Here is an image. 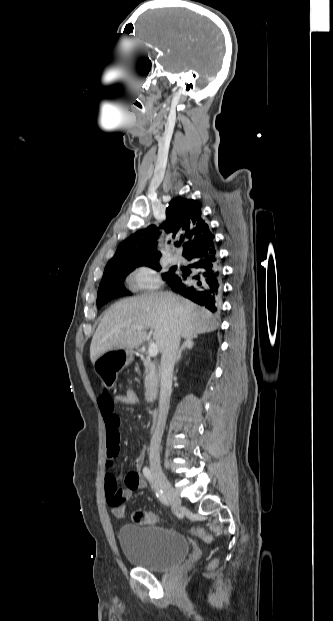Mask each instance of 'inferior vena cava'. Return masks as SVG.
I'll return each mask as SVG.
<instances>
[{
	"mask_svg": "<svg viewBox=\"0 0 333 621\" xmlns=\"http://www.w3.org/2000/svg\"><path fill=\"white\" fill-rule=\"evenodd\" d=\"M180 340V332L175 328L172 329L168 335L166 346L161 357L159 415L155 431L151 437L149 453L150 462L155 464L160 463V444L169 410L173 369Z\"/></svg>",
	"mask_w": 333,
	"mask_h": 621,
	"instance_id": "obj_1",
	"label": "inferior vena cava"
}]
</instances>
